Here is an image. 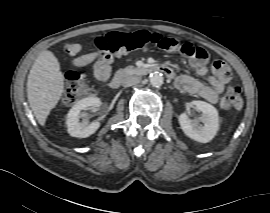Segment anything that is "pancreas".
Returning a JSON list of instances; mask_svg holds the SVG:
<instances>
[{"mask_svg":"<svg viewBox=\"0 0 270 213\" xmlns=\"http://www.w3.org/2000/svg\"><path fill=\"white\" fill-rule=\"evenodd\" d=\"M140 69L133 67V66H127L121 70L118 71L119 75H131V74H137L139 73Z\"/></svg>","mask_w":270,"mask_h":213,"instance_id":"1","label":"pancreas"}]
</instances>
